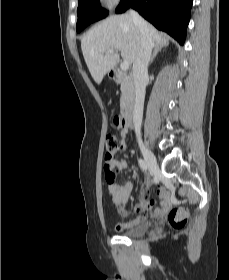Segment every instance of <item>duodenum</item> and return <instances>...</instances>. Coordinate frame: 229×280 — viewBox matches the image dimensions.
Masks as SVG:
<instances>
[{
	"label": "duodenum",
	"mask_w": 229,
	"mask_h": 280,
	"mask_svg": "<svg viewBox=\"0 0 229 280\" xmlns=\"http://www.w3.org/2000/svg\"><path fill=\"white\" fill-rule=\"evenodd\" d=\"M113 79L115 82L127 81L129 85V95L121 115V123L124 129H128L132 125L133 114L136 106L135 85L133 82V74L123 73L119 70L113 72Z\"/></svg>",
	"instance_id": "410a0bca"
}]
</instances>
